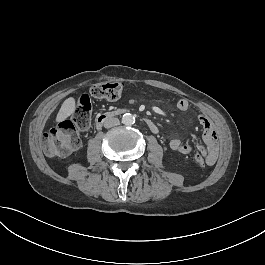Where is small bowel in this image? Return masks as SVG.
<instances>
[{"label":"small bowel","instance_id":"c3829d8e","mask_svg":"<svg viewBox=\"0 0 265 265\" xmlns=\"http://www.w3.org/2000/svg\"><path fill=\"white\" fill-rule=\"evenodd\" d=\"M176 106L179 111L187 112L190 109V103L187 99L181 98L177 101ZM199 122L203 128V137L205 145H198L197 148L204 156L207 165H213L218 158V145L216 142L215 132L211 121L205 117L200 116ZM169 147L171 150L180 153H190L193 150V143L190 140L182 141L178 138L170 140Z\"/></svg>","mask_w":265,"mask_h":265}]
</instances>
